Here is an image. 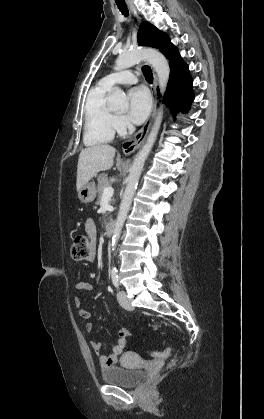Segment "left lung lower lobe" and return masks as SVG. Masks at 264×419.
Instances as JSON below:
<instances>
[{
  "label": "left lung lower lobe",
  "instance_id": "1",
  "mask_svg": "<svg viewBox=\"0 0 264 419\" xmlns=\"http://www.w3.org/2000/svg\"><path fill=\"white\" fill-rule=\"evenodd\" d=\"M163 54L170 60L171 68L165 101L172 107L174 113L185 112L193 100L192 79L188 66L183 62L175 46Z\"/></svg>",
  "mask_w": 264,
  "mask_h": 419
}]
</instances>
